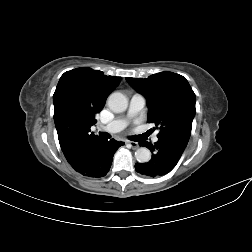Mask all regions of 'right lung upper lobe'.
<instances>
[{"label": "right lung upper lobe", "instance_id": "right-lung-upper-lobe-1", "mask_svg": "<svg viewBox=\"0 0 252 252\" xmlns=\"http://www.w3.org/2000/svg\"><path fill=\"white\" fill-rule=\"evenodd\" d=\"M120 80L121 77L106 76L88 67L61 76L53 95L54 122L66 159L84 143L100 138L90 128Z\"/></svg>", "mask_w": 252, "mask_h": 252}]
</instances>
